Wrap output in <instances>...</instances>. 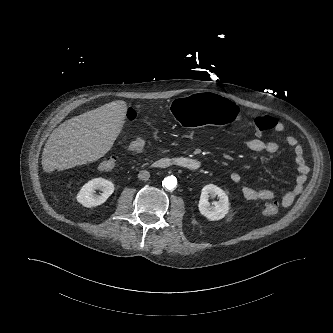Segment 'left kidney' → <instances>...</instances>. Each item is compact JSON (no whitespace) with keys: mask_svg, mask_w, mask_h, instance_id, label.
Returning <instances> with one entry per match:
<instances>
[{"mask_svg":"<svg viewBox=\"0 0 333 333\" xmlns=\"http://www.w3.org/2000/svg\"><path fill=\"white\" fill-rule=\"evenodd\" d=\"M210 196L219 198L212 207L208 202ZM229 205L228 196L221 188L213 184H208L202 188L198 208L208 220L216 221L224 218L229 211Z\"/></svg>","mask_w":333,"mask_h":333,"instance_id":"obj_1","label":"left kidney"}]
</instances>
